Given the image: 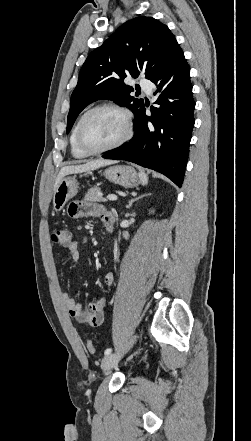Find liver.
Here are the masks:
<instances>
[{
    "mask_svg": "<svg viewBox=\"0 0 251 441\" xmlns=\"http://www.w3.org/2000/svg\"><path fill=\"white\" fill-rule=\"evenodd\" d=\"M113 163H115V162L111 161V160L97 159V160L89 161L84 164L69 165V166L62 167L57 178H56L54 190L58 186V184L60 183L62 178H64L66 175L92 171V170H95L100 167L107 166V165H110Z\"/></svg>",
    "mask_w": 251,
    "mask_h": 441,
    "instance_id": "liver-1",
    "label": "liver"
}]
</instances>
